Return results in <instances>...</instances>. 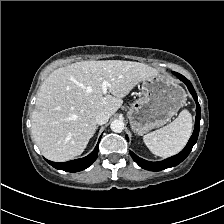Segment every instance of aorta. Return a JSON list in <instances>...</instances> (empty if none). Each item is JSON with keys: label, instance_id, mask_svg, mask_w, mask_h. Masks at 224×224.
Wrapping results in <instances>:
<instances>
[{"label": "aorta", "instance_id": "762f6f07", "mask_svg": "<svg viewBox=\"0 0 224 224\" xmlns=\"http://www.w3.org/2000/svg\"><path fill=\"white\" fill-rule=\"evenodd\" d=\"M110 128L113 132L120 133L124 130V122L120 119H115L111 122Z\"/></svg>", "mask_w": 224, "mask_h": 224}]
</instances>
